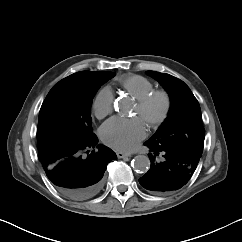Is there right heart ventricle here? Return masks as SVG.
Wrapping results in <instances>:
<instances>
[{"mask_svg": "<svg viewBox=\"0 0 242 242\" xmlns=\"http://www.w3.org/2000/svg\"><path fill=\"white\" fill-rule=\"evenodd\" d=\"M119 85L134 99H139L152 91L154 83L149 79L136 74L122 76L118 79Z\"/></svg>", "mask_w": 242, "mask_h": 242, "instance_id": "e07e8e85", "label": "right heart ventricle"}]
</instances>
